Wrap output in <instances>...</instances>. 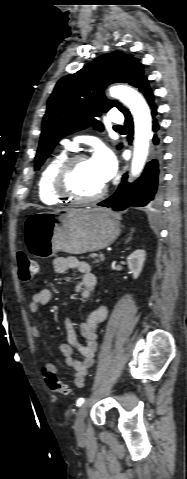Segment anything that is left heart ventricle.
Returning a JSON list of instances; mask_svg holds the SVG:
<instances>
[{
    "label": "left heart ventricle",
    "mask_w": 187,
    "mask_h": 479,
    "mask_svg": "<svg viewBox=\"0 0 187 479\" xmlns=\"http://www.w3.org/2000/svg\"><path fill=\"white\" fill-rule=\"evenodd\" d=\"M72 189L80 196L88 197L97 193L105 183L100 179L91 159L79 162L72 173Z\"/></svg>",
    "instance_id": "1"
}]
</instances>
